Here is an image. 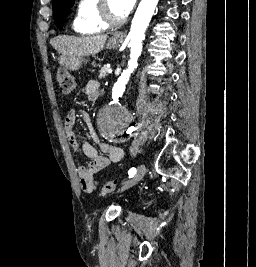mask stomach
Here are the masks:
<instances>
[{"instance_id": "obj_1", "label": "stomach", "mask_w": 256, "mask_h": 267, "mask_svg": "<svg viewBox=\"0 0 256 267\" xmlns=\"http://www.w3.org/2000/svg\"><path fill=\"white\" fill-rule=\"evenodd\" d=\"M119 42H122V34H117V36H114L113 38H109L106 48H116L118 46ZM81 62H84L83 58H75L73 62H58V67H69V68H78L80 66Z\"/></svg>"}]
</instances>
